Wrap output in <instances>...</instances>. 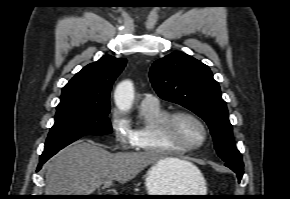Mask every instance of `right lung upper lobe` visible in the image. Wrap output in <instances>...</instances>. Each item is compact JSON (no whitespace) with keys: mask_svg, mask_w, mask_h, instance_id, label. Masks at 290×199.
I'll list each match as a JSON object with an SVG mask.
<instances>
[{"mask_svg":"<svg viewBox=\"0 0 290 199\" xmlns=\"http://www.w3.org/2000/svg\"><path fill=\"white\" fill-rule=\"evenodd\" d=\"M126 65V59L104 55L85 66L64 87L57 108L74 105H110L113 82Z\"/></svg>","mask_w":290,"mask_h":199,"instance_id":"1","label":"right lung upper lobe"}]
</instances>
